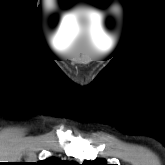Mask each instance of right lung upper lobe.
<instances>
[{
	"instance_id": "1",
	"label": "right lung upper lobe",
	"mask_w": 165,
	"mask_h": 165,
	"mask_svg": "<svg viewBox=\"0 0 165 165\" xmlns=\"http://www.w3.org/2000/svg\"><path fill=\"white\" fill-rule=\"evenodd\" d=\"M36 165H78L75 162H67V161H61L57 158H48L46 160H43L41 162L35 163Z\"/></svg>"
}]
</instances>
